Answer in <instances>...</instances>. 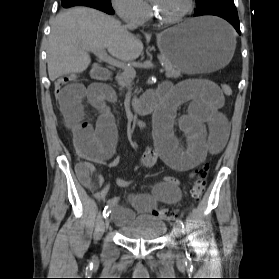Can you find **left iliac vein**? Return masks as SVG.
<instances>
[{
  "mask_svg": "<svg viewBox=\"0 0 279 279\" xmlns=\"http://www.w3.org/2000/svg\"><path fill=\"white\" fill-rule=\"evenodd\" d=\"M173 233L175 234V236L179 237L182 234V230L181 227L179 226L178 223L174 224L173 226Z\"/></svg>",
  "mask_w": 279,
  "mask_h": 279,
  "instance_id": "1",
  "label": "left iliac vein"
}]
</instances>
